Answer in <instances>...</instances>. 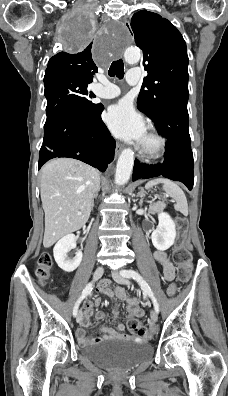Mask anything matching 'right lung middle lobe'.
Listing matches in <instances>:
<instances>
[{
	"label": "right lung middle lobe",
	"instance_id": "dd1d6c3e",
	"mask_svg": "<svg viewBox=\"0 0 228 396\" xmlns=\"http://www.w3.org/2000/svg\"><path fill=\"white\" fill-rule=\"evenodd\" d=\"M78 24L80 31L71 42L76 47H82L93 36L94 27L81 22ZM89 83L91 82L74 76L44 77L47 119L68 112L91 114L97 109L99 104L91 101L95 95L87 89Z\"/></svg>",
	"mask_w": 228,
	"mask_h": 396
}]
</instances>
